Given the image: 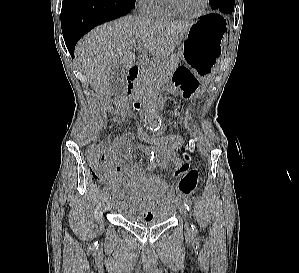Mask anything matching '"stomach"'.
Returning <instances> with one entry per match:
<instances>
[{"label": "stomach", "instance_id": "0dacf381", "mask_svg": "<svg viewBox=\"0 0 299 273\" xmlns=\"http://www.w3.org/2000/svg\"><path fill=\"white\" fill-rule=\"evenodd\" d=\"M226 20L218 13H211L195 21L183 40L184 64L174 67V75L167 79L169 91L194 101L203 85V76L219 74V56L225 43Z\"/></svg>", "mask_w": 299, "mask_h": 273}]
</instances>
